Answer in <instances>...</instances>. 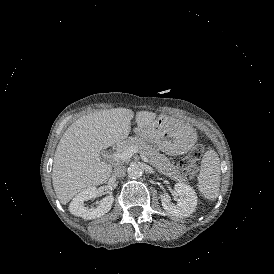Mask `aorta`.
I'll use <instances>...</instances> for the list:
<instances>
[{
  "label": "aorta",
  "mask_w": 274,
  "mask_h": 274,
  "mask_svg": "<svg viewBox=\"0 0 274 274\" xmlns=\"http://www.w3.org/2000/svg\"><path fill=\"white\" fill-rule=\"evenodd\" d=\"M142 175V169L137 164L128 167V176L130 178H138Z\"/></svg>",
  "instance_id": "obj_1"
}]
</instances>
